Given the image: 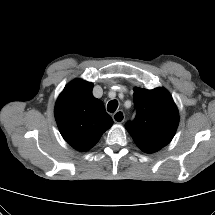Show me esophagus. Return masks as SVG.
Segmentation results:
<instances>
[{
	"label": "esophagus",
	"instance_id": "obj_1",
	"mask_svg": "<svg viewBox=\"0 0 215 215\" xmlns=\"http://www.w3.org/2000/svg\"><path fill=\"white\" fill-rule=\"evenodd\" d=\"M113 120L115 123H123L125 120V114L122 110H118L117 112H115L112 116Z\"/></svg>",
	"mask_w": 215,
	"mask_h": 215
}]
</instances>
